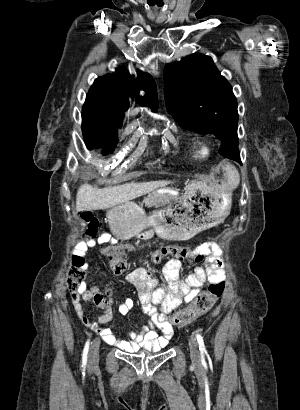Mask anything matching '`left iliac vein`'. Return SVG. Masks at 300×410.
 <instances>
[{
	"instance_id": "4c4485c4",
	"label": "left iliac vein",
	"mask_w": 300,
	"mask_h": 410,
	"mask_svg": "<svg viewBox=\"0 0 300 410\" xmlns=\"http://www.w3.org/2000/svg\"><path fill=\"white\" fill-rule=\"evenodd\" d=\"M189 349H190V357L192 360V363L195 365L200 364V354H199V349H198V343L194 337H191L189 339Z\"/></svg>"
}]
</instances>
